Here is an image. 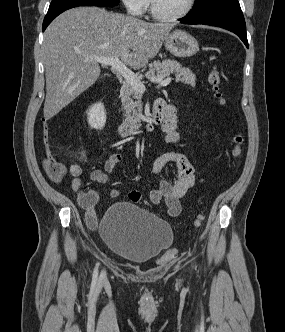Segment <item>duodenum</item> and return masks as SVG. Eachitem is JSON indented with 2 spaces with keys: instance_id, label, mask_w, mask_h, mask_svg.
<instances>
[{
  "instance_id": "1",
  "label": "duodenum",
  "mask_w": 285,
  "mask_h": 332,
  "mask_svg": "<svg viewBox=\"0 0 285 332\" xmlns=\"http://www.w3.org/2000/svg\"><path fill=\"white\" fill-rule=\"evenodd\" d=\"M169 116V106L163 99H159L154 104L153 115L151 119L141 127L137 124L118 122L117 131L123 137H129L138 133L142 128L146 131H152L156 126L162 125Z\"/></svg>"
}]
</instances>
